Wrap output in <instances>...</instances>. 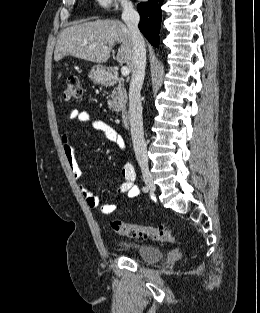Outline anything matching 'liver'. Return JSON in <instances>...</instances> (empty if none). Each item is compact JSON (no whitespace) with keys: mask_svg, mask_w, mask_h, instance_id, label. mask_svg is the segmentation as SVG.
<instances>
[{"mask_svg":"<svg viewBox=\"0 0 260 313\" xmlns=\"http://www.w3.org/2000/svg\"><path fill=\"white\" fill-rule=\"evenodd\" d=\"M115 43L120 44L116 60L134 67L132 35L126 24L119 20H96L67 27L59 35L54 52L58 62L65 56L104 63L110 58ZM105 47V49H104Z\"/></svg>","mask_w":260,"mask_h":313,"instance_id":"liver-1","label":"liver"}]
</instances>
